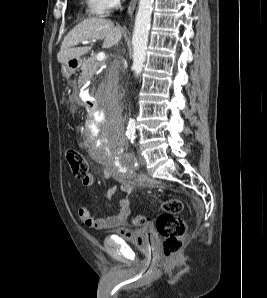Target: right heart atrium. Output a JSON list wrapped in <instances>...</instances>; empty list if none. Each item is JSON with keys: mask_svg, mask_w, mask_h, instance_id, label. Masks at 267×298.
I'll return each instance as SVG.
<instances>
[{"mask_svg": "<svg viewBox=\"0 0 267 298\" xmlns=\"http://www.w3.org/2000/svg\"><path fill=\"white\" fill-rule=\"evenodd\" d=\"M102 12H109L119 6L120 0H99Z\"/></svg>", "mask_w": 267, "mask_h": 298, "instance_id": "obj_1", "label": "right heart atrium"}]
</instances>
